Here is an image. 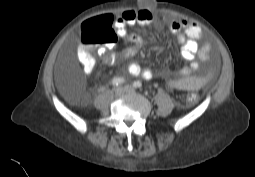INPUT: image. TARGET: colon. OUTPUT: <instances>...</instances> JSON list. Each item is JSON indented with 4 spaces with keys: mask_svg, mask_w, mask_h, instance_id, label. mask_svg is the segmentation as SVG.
Masks as SVG:
<instances>
[{
    "mask_svg": "<svg viewBox=\"0 0 255 177\" xmlns=\"http://www.w3.org/2000/svg\"><path fill=\"white\" fill-rule=\"evenodd\" d=\"M81 38L85 46L93 44L104 48L111 47L117 41L116 33L111 29L110 22L105 15L85 21L82 25ZM80 60L88 65L92 63L84 49L81 50ZM187 98L190 102H194L198 96L190 94Z\"/></svg>",
    "mask_w": 255,
    "mask_h": 177,
    "instance_id": "obj_1",
    "label": "colon"
}]
</instances>
